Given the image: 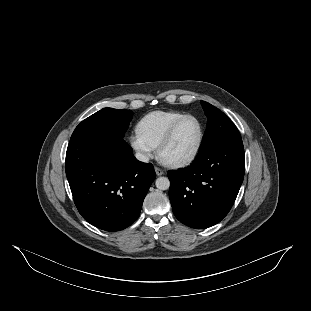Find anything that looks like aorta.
Masks as SVG:
<instances>
[{"label":"aorta","instance_id":"aorta-1","mask_svg":"<svg viewBox=\"0 0 311 311\" xmlns=\"http://www.w3.org/2000/svg\"><path fill=\"white\" fill-rule=\"evenodd\" d=\"M155 185L160 190H167L170 187V180L167 177H158L155 181Z\"/></svg>","mask_w":311,"mask_h":311}]
</instances>
